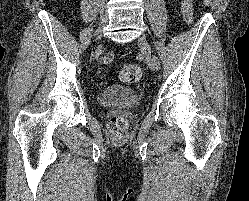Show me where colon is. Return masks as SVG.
I'll return each instance as SVG.
<instances>
[{
	"label": "colon",
	"mask_w": 249,
	"mask_h": 201,
	"mask_svg": "<svg viewBox=\"0 0 249 201\" xmlns=\"http://www.w3.org/2000/svg\"><path fill=\"white\" fill-rule=\"evenodd\" d=\"M182 13L184 20L191 23L193 19V0H183ZM120 79L126 83H135L141 77V69L136 64H124L119 71ZM109 128L116 139L126 137L127 121L123 116L114 115L109 119Z\"/></svg>",
	"instance_id": "5ec220e1"
}]
</instances>
